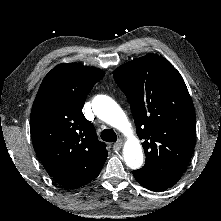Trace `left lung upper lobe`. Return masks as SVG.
Wrapping results in <instances>:
<instances>
[{
    "instance_id": "1",
    "label": "left lung upper lobe",
    "mask_w": 221,
    "mask_h": 221,
    "mask_svg": "<svg viewBox=\"0 0 221 221\" xmlns=\"http://www.w3.org/2000/svg\"><path fill=\"white\" fill-rule=\"evenodd\" d=\"M113 77L126 95L145 165L141 180H178L195 146L196 116L180 73L162 56L148 54L118 67Z\"/></svg>"
}]
</instances>
